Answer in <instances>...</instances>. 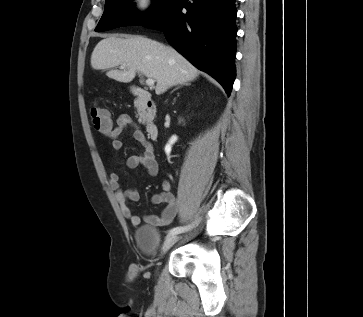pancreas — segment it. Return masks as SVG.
Segmentation results:
<instances>
[{
    "label": "pancreas",
    "instance_id": "obj_1",
    "mask_svg": "<svg viewBox=\"0 0 363 317\" xmlns=\"http://www.w3.org/2000/svg\"><path fill=\"white\" fill-rule=\"evenodd\" d=\"M137 110H138V114H139V122L145 123L146 119H145L143 113H141V110L139 108Z\"/></svg>",
    "mask_w": 363,
    "mask_h": 317
}]
</instances>
